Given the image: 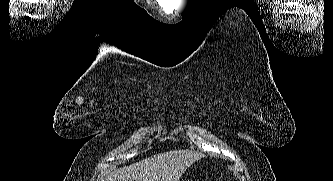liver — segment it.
I'll return each mask as SVG.
<instances>
[{"instance_id":"1","label":"liver","mask_w":333,"mask_h":181,"mask_svg":"<svg viewBox=\"0 0 333 181\" xmlns=\"http://www.w3.org/2000/svg\"><path fill=\"white\" fill-rule=\"evenodd\" d=\"M202 155L191 150L156 154L129 166L114 170L105 181H178Z\"/></svg>"}]
</instances>
